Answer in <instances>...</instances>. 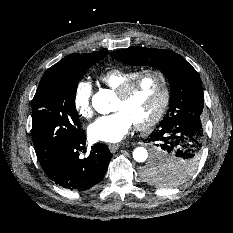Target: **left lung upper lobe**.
Listing matches in <instances>:
<instances>
[{"instance_id": "5c2ea615", "label": "left lung upper lobe", "mask_w": 233, "mask_h": 233, "mask_svg": "<svg viewBox=\"0 0 233 233\" xmlns=\"http://www.w3.org/2000/svg\"><path fill=\"white\" fill-rule=\"evenodd\" d=\"M111 57L129 65H146L160 70L171 86L170 106L161 121L179 116H195L200 120L204 106L201 79L197 71L182 56L155 48L117 50ZM200 157L171 158L166 164L149 163L143 177L151 183L174 186L186 181L196 170Z\"/></svg>"}]
</instances>
